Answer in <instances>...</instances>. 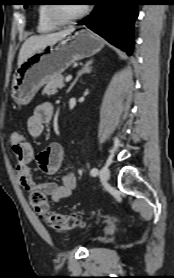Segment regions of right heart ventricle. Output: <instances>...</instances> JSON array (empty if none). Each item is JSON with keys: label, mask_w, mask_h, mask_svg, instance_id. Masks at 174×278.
<instances>
[{"label": "right heart ventricle", "mask_w": 174, "mask_h": 278, "mask_svg": "<svg viewBox=\"0 0 174 278\" xmlns=\"http://www.w3.org/2000/svg\"><path fill=\"white\" fill-rule=\"evenodd\" d=\"M47 9V4H41L37 9V29L41 33L51 32L58 27L49 19Z\"/></svg>", "instance_id": "right-heart-ventricle-1"}]
</instances>
